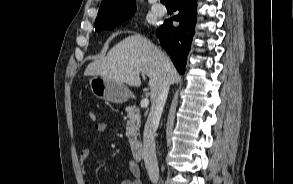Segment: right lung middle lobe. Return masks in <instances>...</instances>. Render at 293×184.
Masks as SVG:
<instances>
[{"mask_svg":"<svg viewBox=\"0 0 293 184\" xmlns=\"http://www.w3.org/2000/svg\"><path fill=\"white\" fill-rule=\"evenodd\" d=\"M132 16L133 15H131L129 17H125L123 19H119L117 21H113V22H110V23L102 24V25L95 24V28H96L97 32H100L101 30H110V29L114 28L115 26H117L118 24H120L121 22L130 19Z\"/></svg>","mask_w":293,"mask_h":184,"instance_id":"obj_1","label":"right lung middle lobe"}]
</instances>
